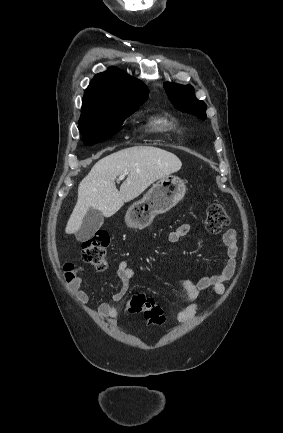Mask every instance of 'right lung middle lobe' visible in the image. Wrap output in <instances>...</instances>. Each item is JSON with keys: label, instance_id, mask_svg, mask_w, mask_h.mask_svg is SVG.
Segmentation results:
<instances>
[{"label": "right lung middle lobe", "instance_id": "dd1d6c3e", "mask_svg": "<svg viewBox=\"0 0 283 433\" xmlns=\"http://www.w3.org/2000/svg\"><path fill=\"white\" fill-rule=\"evenodd\" d=\"M139 107H124L81 113L78 128L84 136V143L94 145L115 134Z\"/></svg>", "mask_w": 283, "mask_h": 433}]
</instances>
